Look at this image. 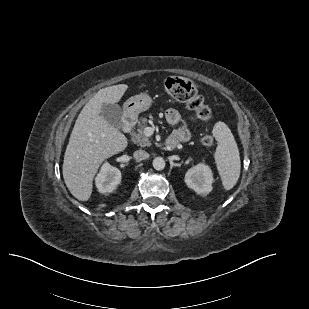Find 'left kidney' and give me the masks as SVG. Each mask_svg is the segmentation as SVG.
I'll use <instances>...</instances> for the list:
<instances>
[{
  "instance_id": "1",
  "label": "left kidney",
  "mask_w": 309,
  "mask_h": 309,
  "mask_svg": "<svg viewBox=\"0 0 309 309\" xmlns=\"http://www.w3.org/2000/svg\"><path fill=\"white\" fill-rule=\"evenodd\" d=\"M213 181L211 169L203 163L190 168L185 174V183L197 193L211 192Z\"/></svg>"
}]
</instances>
